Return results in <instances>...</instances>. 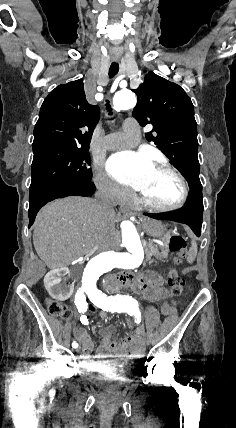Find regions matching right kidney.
Returning a JSON list of instances; mask_svg holds the SVG:
<instances>
[{"label":"right kidney","instance_id":"right-kidney-1","mask_svg":"<svg viewBox=\"0 0 236 428\" xmlns=\"http://www.w3.org/2000/svg\"><path fill=\"white\" fill-rule=\"evenodd\" d=\"M44 285L49 286V294L53 301H68L72 291V283H61L65 276L64 269H46Z\"/></svg>","mask_w":236,"mask_h":428}]
</instances>
